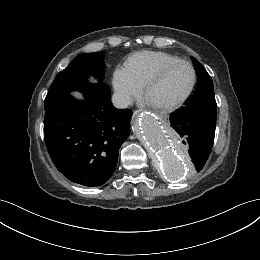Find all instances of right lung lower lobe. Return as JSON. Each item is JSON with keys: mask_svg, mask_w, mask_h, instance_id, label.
<instances>
[{"mask_svg": "<svg viewBox=\"0 0 260 260\" xmlns=\"http://www.w3.org/2000/svg\"><path fill=\"white\" fill-rule=\"evenodd\" d=\"M44 139L56 168L88 187L103 185L117 166L119 148L130 133L132 111L117 109L103 82L84 92L45 99Z\"/></svg>", "mask_w": 260, "mask_h": 260, "instance_id": "obj_1", "label": "right lung lower lobe"}]
</instances>
